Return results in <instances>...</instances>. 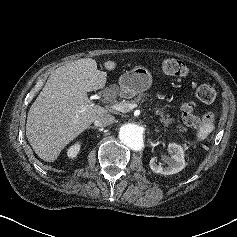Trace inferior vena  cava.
<instances>
[{"instance_id":"obj_1","label":"inferior vena cava","mask_w":237,"mask_h":237,"mask_svg":"<svg viewBox=\"0 0 237 237\" xmlns=\"http://www.w3.org/2000/svg\"><path fill=\"white\" fill-rule=\"evenodd\" d=\"M115 122L114 116L111 114L105 113L97 117L94 121L96 127H105L111 125Z\"/></svg>"}]
</instances>
